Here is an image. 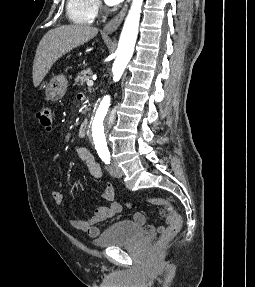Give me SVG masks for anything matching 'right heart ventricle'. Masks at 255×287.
I'll return each mask as SVG.
<instances>
[{"instance_id": "1", "label": "right heart ventricle", "mask_w": 255, "mask_h": 287, "mask_svg": "<svg viewBox=\"0 0 255 287\" xmlns=\"http://www.w3.org/2000/svg\"><path fill=\"white\" fill-rule=\"evenodd\" d=\"M83 33H102V32H83ZM84 39H111V38H84ZM99 48H111V47H99Z\"/></svg>"}]
</instances>
